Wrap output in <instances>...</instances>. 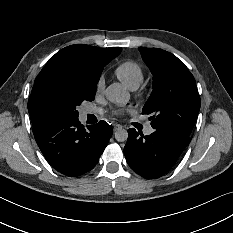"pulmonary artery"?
I'll list each match as a JSON object with an SVG mask.
<instances>
[{"label":"pulmonary artery","mask_w":233,"mask_h":233,"mask_svg":"<svg viewBox=\"0 0 233 233\" xmlns=\"http://www.w3.org/2000/svg\"><path fill=\"white\" fill-rule=\"evenodd\" d=\"M90 113H102V110H95V111H90ZM153 133V129L148 127L144 130L145 135H151Z\"/></svg>","instance_id":"1"}]
</instances>
